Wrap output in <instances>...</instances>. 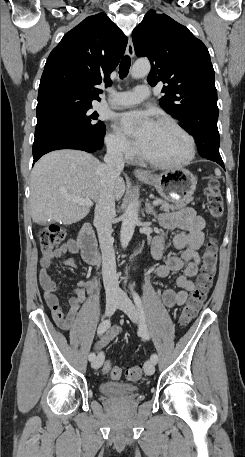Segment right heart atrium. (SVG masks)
<instances>
[{"label": "right heart atrium", "instance_id": "right-heart-atrium-1", "mask_svg": "<svg viewBox=\"0 0 245 457\" xmlns=\"http://www.w3.org/2000/svg\"><path fill=\"white\" fill-rule=\"evenodd\" d=\"M109 150L117 156L126 160L133 158L135 151L132 144L119 132L113 131L106 138Z\"/></svg>", "mask_w": 245, "mask_h": 457}]
</instances>
